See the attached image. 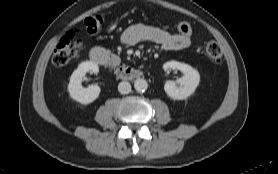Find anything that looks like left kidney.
Instances as JSON below:
<instances>
[{
  "label": "left kidney",
  "mask_w": 278,
  "mask_h": 174,
  "mask_svg": "<svg viewBox=\"0 0 278 174\" xmlns=\"http://www.w3.org/2000/svg\"><path fill=\"white\" fill-rule=\"evenodd\" d=\"M165 71L180 70L183 73V77L177 80L180 86H177L175 82L167 81L164 85L166 94L173 100H184L192 95L200 82L199 72L192 68L190 65L177 62L169 61L163 65Z\"/></svg>",
  "instance_id": "5707ae66"
}]
</instances>
